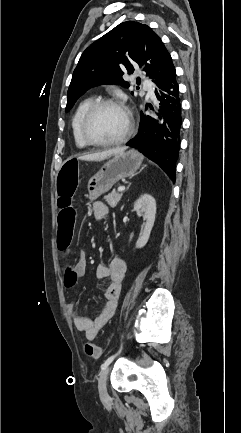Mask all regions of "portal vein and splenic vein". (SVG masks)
Segmentation results:
<instances>
[{
    "mask_svg": "<svg viewBox=\"0 0 241 433\" xmlns=\"http://www.w3.org/2000/svg\"><path fill=\"white\" fill-rule=\"evenodd\" d=\"M125 190V186L118 187V192H123Z\"/></svg>",
    "mask_w": 241,
    "mask_h": 433,
    "instance_id": "obj_1",
    "label": "portal vein and splenic vein"
}]
</instances>
